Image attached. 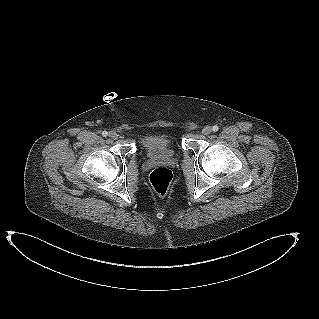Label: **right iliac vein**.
I'll return each instance as SVG.
<instances>
[{
    "label": "right iliac vein",
    "instance_id": "1",
    "mask_svg": "<svg viewBox=\"0 0 319 319\" xmlns=\"http://www.w3.org/2000/svg\"><path fill=\"white\" fill-rule=\"evenodd\" d=\"M109 137L113 140L118 138V134L114 131L109 132Z\"/></svg>",
    "mask_w": 319,
    "mask_h": 319
}]
</instances>
